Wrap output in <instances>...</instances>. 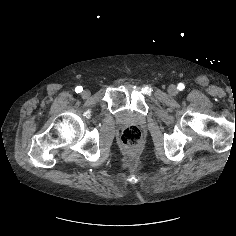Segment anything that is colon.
<instances>
[{
    "instance_id": "colon-1",
    "label": "colon",
    "mask_w": 236,
    "mask_h": 236,
    "mask_svg": "<svg viewBox=\"0 0 236 236\" xmlns=\"http://www.w3.org/2000/svg\"><path fill=\"white\" fill-rule=\"evenodd\" d=\"M121 139L124 146L128 149L137 148L143 140L142 131L137 126H128L124 129Z\"/></svg>"
}]
</instances>
